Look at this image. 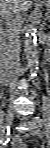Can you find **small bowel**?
I'll return each instance as SVG.
<instances>
[{
  "label": "small bowel",
  "instance_id": "obj_1",
  "mask_svg": "<svg viewBox=\"0 0 50 148\" xmlns=\"http://www.w3.org/2000/svg\"><path fill=\"white\" fill-rule=\"evenodd\" d=\"M26 145L24 144L22 138L20 136L15 137L13 141L14 148H24Z\"/></svg>",
  "mask_w": 50,
  "mask_h": 148
}]
</instances>
